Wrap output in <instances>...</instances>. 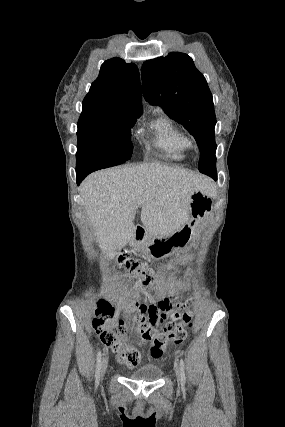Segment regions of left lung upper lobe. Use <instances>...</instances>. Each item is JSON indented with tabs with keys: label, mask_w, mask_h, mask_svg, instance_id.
<instances>
[{
	"label": "left lung upper lobe",
	"mask_w": 285,
	"mask_h": 427,
	"mask_svg": "<svg viewBox=\"0 0 285 427\" xmlns=\"http://www.w3.org/2000/svg\"><path fill=\"white\" fill-rule=\"evenodd\" d=\"M142 90L152 105L163 108L181 123L197 141L200 150L199 171L212 178L216 172V117L213 98L206 79L190 56L171 52L144 62L141 68Z\"/></svg>",
	"instance_id": "left-lung-upper-lobe-1"
}]
</instances>
